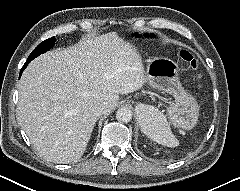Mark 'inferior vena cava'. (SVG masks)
Instances as JSON below:
<instances>
[{
  "mask_svg": "<svg viewBox=\"0 0 240 191\" xmlns=\"http://www.w3.org/2000/svg\"><path fill=\"white\" fill-rule=\"evenodd\" d=\"M95 110L98 113H104L107 111V105L105 103H99L95 106Z\"/></svg>",
  "mask_w": 240,
  "mask_h": 191,
  "instance_id": "1",
  "label": "inferior vena cava"
}]
</instances>
